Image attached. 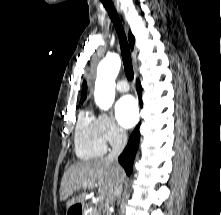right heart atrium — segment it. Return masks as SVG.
I'll return each instance as SVG.
<instances>
[{
    "label": "right heart atrium",
    "instance_id": "1",
    "mask_svg": "<svg viewBox=\"0 0 221 215\" xmlns=\"http://www.w3.org/2000/svg\"><path fill=\"white\" fill-rule=\"evenodd\" d=\"M96 125L98 134L105 144L117 145L125 140L124 130L118 126L110 114H99L96 117Z\"/></svg>",
    "mask_w": 221,
    "mask_h": 215
}]
</instances>
